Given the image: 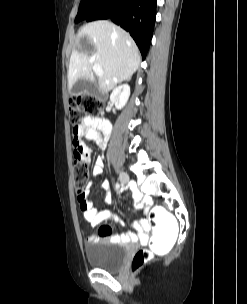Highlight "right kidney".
<instances>
[{"instance_id":"1","label":"right kidney","mask_w":247,"mask_h":304,"mask_svg":"<svg viewBox=\"0 0 247 304\" xmlns=\"http://www.w3.org/2000/svg\"><path fill=\"white\" fill-rule=\"evenodd\" d=\"M130 96V86L123 84L116 87L110 95V101L118 110H121L127 103Z\"/></svg>"}]
</instances>
